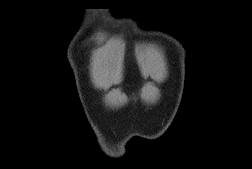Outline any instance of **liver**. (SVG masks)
Segmentation results:
<instances>
[{
  "mask_svg": "<svg viewBox=\"0 0 252 169\" xmlns=\"http://www.w3.org/2000/svg\"><path fill=\"white\" fill-rule=\"evenodd\" d=\"M94 79H95V82L98 84L101 80V73L99 71H96L95 74H94Z\"/></svg>",
  "mask_w": 252,
  "mask_h": 169,
  "instance_id": "liver-1",
  "label": "liver"
}]
</instances>
